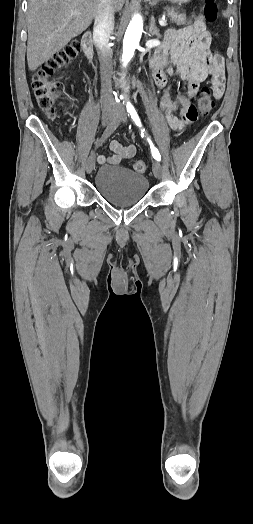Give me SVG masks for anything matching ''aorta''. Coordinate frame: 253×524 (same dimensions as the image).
<instances>
[{"label":"aorta","instance_id":"aorta-1","mask_svg":"<svg viewBox=\"0 0 253 524\" xmlns=\"http://www.w3.org/2000/svg\"><path fill=\"white\" fill-rule=\"evenodd\" d=\"M142 31H143L142 18L140 15H135L127 27V30L124 36V40H123L122 60H123L124 66H126L127 63L132 59L135 49L139 45Z\"/></svg>","mask_w":253,"mask_h":524}]
</instances>
